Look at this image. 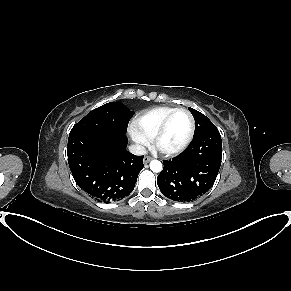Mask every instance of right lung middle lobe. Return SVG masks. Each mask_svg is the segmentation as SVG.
<instances>
[{
    "mask_svg": "<svg viewBox=\"0 0 291 291\" xmlns=\"http://www.w3.org/2000/svg\"><path fill=\"white\" fill-rule=\"evenodd\" d=\"M134 112L117 102L102 105L82 118L70 134L84 131H114L125 134Z\"/></svg>",
    "mask_w": 291,
    "mask_h": 291,
    "instance_id": "obj_1",
    "label": "right lung middle lobe"
}]
</instances>
